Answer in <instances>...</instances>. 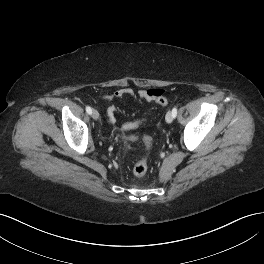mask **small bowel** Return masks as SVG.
<instances>
[{
	"instance_id": "obj_1",
	"label": "small bowel",
	"mask_w": 264,
	"mask_h": 264,
	"mask_svg": "<svg viewBox=\"0 0 264 264\" xmlns=\"http://www.w3.org/2000/svg\"><path fill=\"white\" fill-rule=\"evenodd\" d=\"M165 94V90L162 88H150V89H141L139 91H134L131 88H121L114 91L111 94L105 95L103 98L106 101H112L113 99H121L125 96H130L140 102H152L156 101L159 97ZM119 109L116 106H110L108 109V116L110 122L115 121V113Z\"/></svg>"
}]
</instances>
